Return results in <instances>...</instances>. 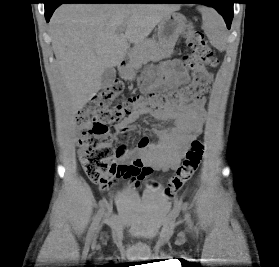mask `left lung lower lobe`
I'll use <instances>...</instances> for the list:
<instances>
[{"instance_id": "left-lung-lower-lobe-1", "label": "left lung lower lobe", "mask_w": 279, "mask_h": 267, "mask_svg": "<svg viewBox=\"0 0 279 267\" xmlns=\"http://www.w3.org/2000/svg\"><path fill=\"white\" fill-rule=\"evenodd\" d=\"M152 3H199L209 5L223 16L229 29L233 19L234 0H155Z\"/></svg>"}]
</instances>
